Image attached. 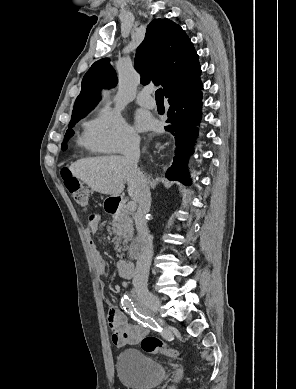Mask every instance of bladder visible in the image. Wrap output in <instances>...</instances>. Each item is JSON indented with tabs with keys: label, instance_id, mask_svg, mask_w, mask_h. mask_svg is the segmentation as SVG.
<instances>
[{
	"label": "bladder",
	"instance_id": "31cf9c89",
	"mask_svg": "<svg viewBox=\"0 0 296 389\" xmlns=\"http://www.w3.org/2000/svg\"><path fill=\"white\" fill-rule=\"evenodd\" d=\"M115 366L120 382L130 389H152L166 378L165 367L137 349L119 352Z\"/></svg>",
	"mask_w": 296,
	"mask_h": 389
}]
</instances>
